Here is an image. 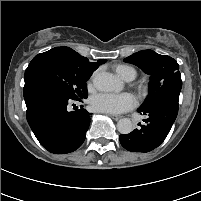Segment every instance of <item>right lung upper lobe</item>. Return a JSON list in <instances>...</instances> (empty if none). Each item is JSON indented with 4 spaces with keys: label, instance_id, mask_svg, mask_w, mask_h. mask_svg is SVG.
Wrapping results in <instances>:
<instances>
[{
    "label": "right lung upper lobe",
    "instance_id": "1",
    "mask_svg": "<svg viewBox=\"0 0 201 201\" xmlns=\"http://www.w3.org/2000/svg\"><path fill=\"white\" fill-rule=\"evenodd\" d=\"M57 49L64 52L67 57L70 65L75 68L78 72L88 75L89 77L92 75L93 71H95L100 64L106 62V60H98L96 63L89 62L87 58H84L74 50L69 47H56Z\"/></svg>",
    "mask_w": 201,
    "mask_h": 201
}]
</instances>
